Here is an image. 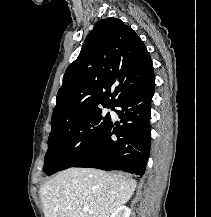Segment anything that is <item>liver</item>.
<instances>
[{
    "label": "liver",
    "instance_id": "6515ba94",
    "mask_svg": "<svg viewBox=\"0 0 211 217\" xmlns=\"http://www.w3.org/2000/svg\"><path fill=\"white\" fill-rule=\"evenodd\" d=\"M136 181L121 173L69 168L40 188L45 217H109L134 193ZM88 207L92 213L85 212Z\"/></svg>",
    "mask_w": 211,
    "mask_h": 217
}]
</instances>
